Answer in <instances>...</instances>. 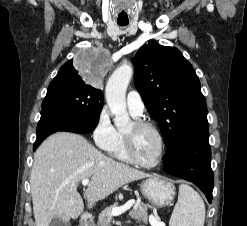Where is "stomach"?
Returning a JSON list of instances; mask_svg holds the SVG:
<instances>
[{"label": "stomach", "mask_w": 247, "mask_h": 226, "mask_svg": "<svg viewBox=\"0 0 247 226\" xmlns=\"http://www.w3.org/2000/svg\"><path fill=\"white\" fill-rule=\"evenodd\" d=\"M141 192L153 205L164 207L169 205L175 196V187L161 177H149L142 181Z\"/></svg>", "instance_id": "1"}]
</instances>
